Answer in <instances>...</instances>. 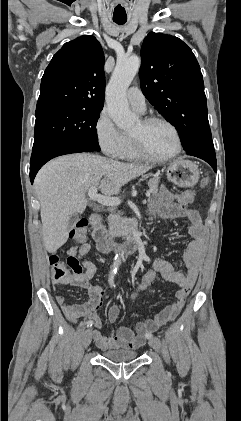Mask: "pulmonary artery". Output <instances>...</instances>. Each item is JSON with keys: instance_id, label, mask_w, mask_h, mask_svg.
I'll list each match as a JSON object with an SVG mask.
<instances>
[{"instance_id": "pulmonary-artery-1", "label": "pulmonary artery", "mask_w": 241, "mask_h": 421, "mask_svg": "<svg viewBox=\"0 0 241 421\" xmlns=\"http://www.w3.org/2000/svg\"><path fill=\"white\" fill-rule=\"evenodd\" d=\"M127 99L130 105L140 111L144 112L146 109L145 97L141 90L137 87H131L127 92Z\"/></svg>"}]
</instances>
